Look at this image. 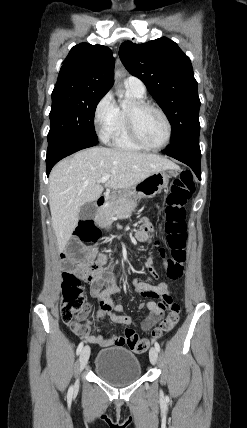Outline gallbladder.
I'll return each mask as SVG.
<instances>
[{"mask_svg": "<svg viewBox=\"0 0 247 428\" xmlns=\"http://www.w3.org/2000/svg\"><path fill=\"white\" fill-rule=\"evenodd\" d=\"M97 213V207L93 202L85 203L79 212V218L81 220H88L95 217Z\"/></svg>", "mask_w": 247, "mask_h": 428, "instance_id": "gallbladder-1", "label": "gallbladder"}]
</instances>
